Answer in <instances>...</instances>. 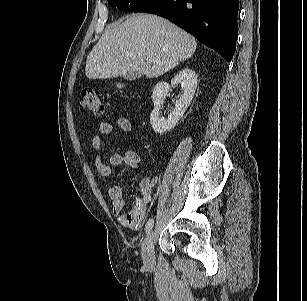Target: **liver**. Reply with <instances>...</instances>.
<instances>
[{
	"label": "liver",
	"instance_id": "obj_1",
	"mask_svg": "<svg viewBox=\"0 0 307 301\" xmlns=\"http://www.w3.org/2000/svg\"><path fill=\"white\" fill-rule=\"evenodd\" d=\"M195 38L170 21L151 14L129 17L107 29L86 60L89 79H108L137 71L147 78L159 77L191 57ZM146 58L155 62L146 63Z\"/></svg>",
	"mask_w": 307,
	"mask_h": 301
}]
</instances>
